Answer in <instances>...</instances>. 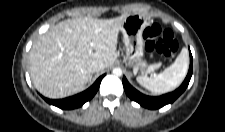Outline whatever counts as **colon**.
I'll return each instance as SVG.
<instances>
[{
    "label": "colon",
    "mask_w": 225,
    "mask_h": 132,
    "mask_svg": "<svg viewBox=\"0 0 225 132\" xmlns=\"http://www.w3.org/2000/svg\"><path fill=\"white\" fill-rule=\"evenodd\" d=\"M143 36L148 50H156L165 57L172 56L178 49L173 32L169 29L163 30L158 24L146 27Z\"/></svg>",
    "instance_id": "1"
}]
</instances>
